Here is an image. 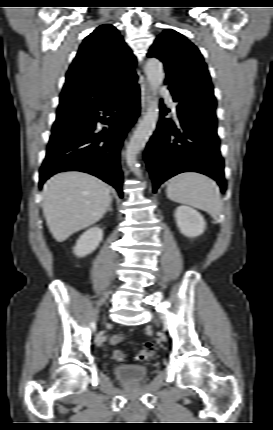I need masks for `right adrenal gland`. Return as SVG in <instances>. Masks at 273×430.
Here are the masks:
<instances>
[{"label":"right adrenal gland","instance_id":"obj_1","mask_svg":"<svg viewBox=\"0 0 273 430\" xmlns=\"http://www.w3.org/2000/svg\"><path fill=\"white\" fill-rule=\"evenodd\" d=\"M108 210H109V211H112V206H111V205L109 206Z\"/></svg>","mask_w":273,"mask_h":430}]
</instances>
